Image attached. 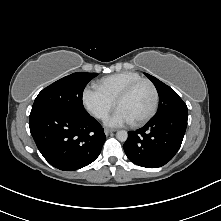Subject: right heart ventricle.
<instances>
[{
    "label": "right heart ventricle",
    "mask_w": 221,
    "mask_h": 221,
    "mask_svg": "<svg viewBox=\"0 0 221 221\" xmlns=\"http://www.w3.org/2000/svg\"><path fill=\"white\" fill-rule=\"evenodd\" d=\"M143 77L133 71H126L109 75L100 79L96 87L114 102L119 94L131 83L142 79Z\"/></svg>",
    "instance_id": "obj_1"
}]
</instances>
